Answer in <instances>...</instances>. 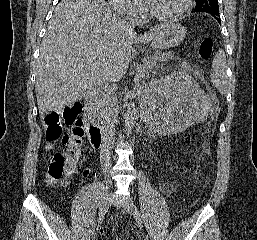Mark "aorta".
<instances>
[{"label":"aorta","mask_w":257,"mask_h":240,"mask_svg":"<svg viewBox=\"0 0 257 240\" xmlns=\"http://www.w3.org/2000/svg\"><path fill=\"white\" fill-rule=\"evenodd\" d=\"M137 119V113L134 103H129L127 106V111L125 113V133L126 136H129L132 132V129L135 125Z\"/></svg>","instance_id":"1"}]
</instances>
